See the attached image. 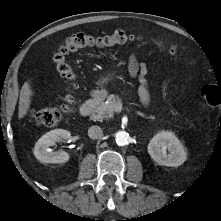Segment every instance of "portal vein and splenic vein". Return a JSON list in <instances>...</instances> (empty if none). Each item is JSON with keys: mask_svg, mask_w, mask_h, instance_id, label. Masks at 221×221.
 <instances>
[{"mask_svg": "<svg viewBox=\"0 0 221 221\" xmlns=\"http://www.w3.org/2000/svg\"><path fill=\"white\" fill-rule=\"evenodd\" d=\"M122 110V104L120 102H118L116 105H115V111L117 112H121Z\"/></svg>", "mask_w": 221, "mask_h": 221, "instance_id": "obj_1", "label": "portal vein and splenic vein"}]
</instances>
